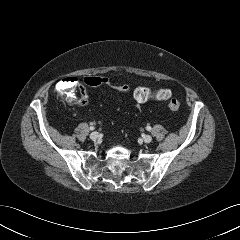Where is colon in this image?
Wrapping results in <instances>:
<instances>
[{"label": "colon", "mask_w": 240, "mask_h": 240, "mask_svg": "<svg viewBox=\"0 0 240 240\" xmlns=\"http://www.w3.org/2000/svg\"><path fill=\"white\" fill-rule=\"evenodd\" d=\"M83 82L89 87L110 85L121 92L129 91V87L127 85L111 82L109 78L103 76H88L84 78ZM75 84V79L66 78L60 82L59 89L68 94L74 89ZM133 96L137 103H145L148 101H167V107L171 111H176L181 106V102L172 96V92L169 89L151 90L148 87L140 86L134 90ZM81 97H84L82 91Z\"/></svg>", "instance_id": "5ec220e1"}]
</instances>
